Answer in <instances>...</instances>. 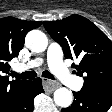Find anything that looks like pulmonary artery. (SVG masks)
Returning <instances> with one entry per match:
<instances>
[{
	"instance_id": "e3ab8cb5",
	"label": "pulmonary artery",
	"mask_w": 112,
	"mask_h": 112,
	"mask_svg": "<svg viewBox=\"0 0 112 112\" xmlns=\"http://www.w3.org/2000/svg\"><path fill=\"white\" fill-rule=\"evenodd\" d=\"M42 63V59L37 58L30 60L27 63H18L15 69L18 72H22L29 68L36 67ZM47 64L51 72L59 79L61 82L69 86L73 90H80L82 87V80L77 76L70 73L67 67L63 63V50L61 46L56 43H50L47 49Z\"/></svg>"
}]
</instances>
